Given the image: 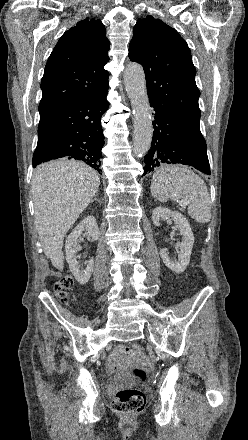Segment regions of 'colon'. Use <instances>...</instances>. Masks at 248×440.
<instances>
[{
  "instance_id": "colon-1",
  "label": "colon",
  "mask_w": 248,
  "mask_h": 440,
  "mask_svg": "<svg viewBox=\"0 0 248 440\" xmlns=\"http://www.w3.org/2000/svg\"><path fill=\"white\" fill-rule=\"evenodd\" d=\"M73 279L66 276L56 281L54 284V293L57 299L63 303L69 300V294L73 287ZM126 351L138 354L141 352V346L138 343L124 347ZM132 376L139 383L146 380V371L142 368H133L130 370ZM146 403V397L143 391L137 387H121L117 389L113 401L112 410L119 416H133L140 413Z\"/></svg>"
}]
</instances>
